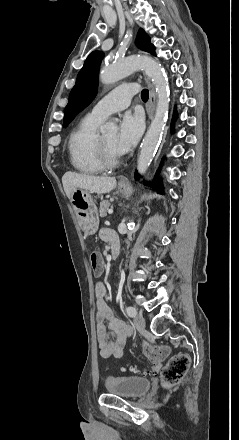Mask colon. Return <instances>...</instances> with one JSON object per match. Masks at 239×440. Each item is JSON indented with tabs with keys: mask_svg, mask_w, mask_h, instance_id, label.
<instances>
[{
	"mask_svg": "<svg viewBox=\"0 0 239 440\" xmlns=\"http://www.w3.org/2000/svg\"><path fill=\"white\" fill-rule=\"evenodd\" d=\"M90 263L95 275H100L103 270L101 256L97 252H93L90 256ZM146 355L153 362V372L160 370V361L168 355V349L162 346H152L144 344ZM189 358L185 354H176L172 356L168 363L160 370L162 382L166 386L177 384L185 375L189 368ZM135 371V369H131Z\"/></svg>",
	"mask_w": 239,
	"mask_h": 440,
	"instance_id": "5ec220e1",
	"label": "colon"
}]
</instances>
